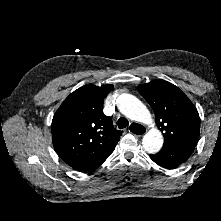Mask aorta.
<instances>
[{"mask_svg":"<svg viewBox=\"0 0 221 221\" xmlns=\"http://www.w3.org/2000/svg\"><path fill=\"white\" fill-rule=\"evenodd\" d=\"M117 106L120 112L131 120L144 124H151L153 122L147 107L131 94H121L117 99ZM163 142V136L156 128L150 129L142 139L144 150L150 154L157 153L162 148Z\"/></svg>","mask_w":221,"mask_h":221,"instance_id":"1","label":"aorta"}]
</instances>
